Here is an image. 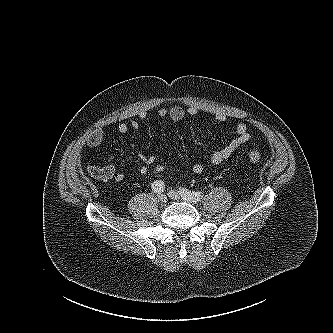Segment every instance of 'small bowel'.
<instances>
[{
	"label": "small bowel",
	"mask_w": 333,
	"mask_h": 333,
	"mask_svg": "<svg viewBox=\"0 0 333 333\" xmlns=\"http://www.w3.org/2000/svg\"><path fill=\"white\" fill-rule=\"evenodd\" d=\"M158 116L161 118H170L174 122L182 121L186 116H195L197 109L194 107H188L187 109L181 106L174 105L171 107H161L157 111ZM215 120L219 123H223L226 117L222 113L215 114ZM139 123L137 121H131L130 123L121 122L117 125V131L120 134H126L129 130H137ZM235 137L223 148L215 150L210 157V164L217 166L227 159H229L235 151L251 140V134L248 131V127L244 122H238L234 128ZM104 140V132L101 129H95L87 137L86 143L89 147H98ZM139 158L142 165L139 168V173L145 175L149 171V167L155 162V156L141 153ZM205 170L203 163L197 162L192 166V171L195 174H201ZM89 174L100 181H109L114 179L115 181H122L125 175L122 172H118L114 164L108 160V163L104 166H91Z\"/></svg>",
	"instance_id": "obj_1"
}]
</instances>
